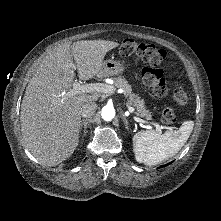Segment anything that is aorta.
I'll use <instances>...</instances> for the list:
<instances>
[{
	"mask_svg": "<svg viewBox=\"0 0 221 221\" xmlns=\"http://www.w3.org/2000/svg\"><path fill=\"white\" fill-rule=\"evenodd\" d=\"M101 116L105 121H111L115 117V109L112 106H104L101 110Z\"/></svg>",
	"mask_w": 221,
	"mask_h": 221,
	"instance_id": "obj_1",
	"label": "aorta"
}]
</instances>
